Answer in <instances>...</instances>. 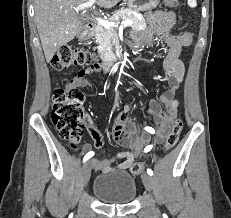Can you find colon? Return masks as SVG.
I'll list each match as a JSON object with an SVG mask.
<instances>
[{"instance_id": "1", "label": "colon", "mask_w": 231, "mask_h": 218, "mask_svg": "<svg viewBox=\"0 0 231 218\" xmlns=\"http://www.w3.org/2000/svg\"><path fill=\"white\" fill-rule=\"evenodd\" d=\"M179 0H165L169 7H177ZM97 63V56L85 49L64 45L51 58L50 66L54 70H66L73 67L89 66ZM84 94L76 86L69 84L66 87L55 89L53 93L52 121L56 126L59 136L75 145L83 134V128L88 123L87 113L83 107ZM183 123L180 119L173 124L164 142V149H172L178 142ZM145 163L141 161L133 162L130 172L134 175L143 173Z\"/></svg>"}]
</instances>
